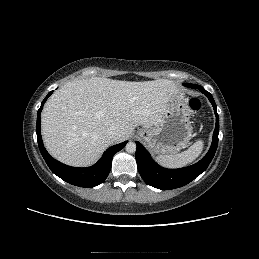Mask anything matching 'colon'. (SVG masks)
Returning a JSON list of instances; mask_svg holds the SVG:
<instances>
[{
  "instance_id": "5ec220e1",
  "label": "colon",
  "mask_w": 259,
  "mask_h": 259,
  "mask_svg": "<svg viewBox=\"0 0 259 259\" xmlns=\"http://www.w3.org/2000/svg\"><path fill=\"white\" fill-rule=\"evenodd\" d=\"M187 106L191 112H197L201 108V102L198 98L192 97L188 100Z\"/></svg>"
}]
</instances>
